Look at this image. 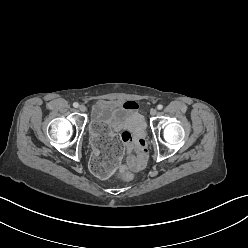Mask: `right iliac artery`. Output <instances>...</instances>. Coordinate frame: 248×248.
<instances>
[{
    "mask_svg": "<svg viewBox=\"0 0 248 248\" xmlns=\"http://www.w3.org/2000/svg\"><path fill=\"white\" fill-rule=\"evenodd\" d=\"M73 106H74L75 108H77V107L79 106V104H78L77 102H75V103H73Z\"/></svg>",
    "mask_w": 248,
    "mask_h": 248,
    "instance_id": "right-iliac-artery-1",
    "label": "right iliac artery"
}]
</instances>
